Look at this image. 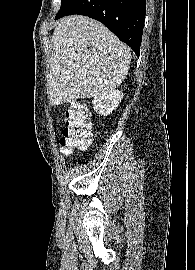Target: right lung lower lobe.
I'll return each instance as SVG.
<instances>
[{
	"label": "right lung lower lobe",
	"mask_w": 195,
	"mask_h": 270,
	"mask_svg": "<svg viewBox=\"0 0 195 270\" xmlns=\"http://www.w3.org/2000/svg\"><path fill=\"white\" fill-rule=\"evenodd\" d=\"M80 14L107 26L116 36L140 55L146 14V0H75L55 19Z\"/></svg>",
	"instance_id": "obj_1"
}]
</instances>
